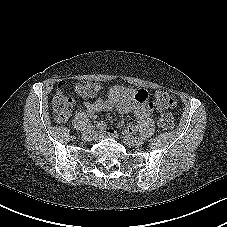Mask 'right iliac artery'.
Wrapping results in <instances>:
<instances>
[{"label":"right iliac artery","instance_id":"1","mask_svg":"<svg viewBox=\"0 0 227 227\" xmlns=\"http://www.w3.org/2000/svg\"><path fill=\"white\" fill-rule=\"evenodd\" d=\"M99 126H100V124L96 122V123H94V124H93V126H92V127H93V129H95V130H96V129H98V128H99Z\"/></svg>","mask_w":227,"mask_h":227}]
</instances>
